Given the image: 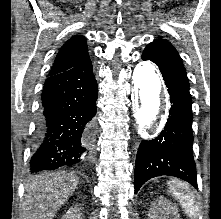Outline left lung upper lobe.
I'll use <instances>...</instances> for the list:
<instances>
[{
  "label": "left lung upper lobe",
  "instance_id": "1",
  "mask_svg": "<svg viewBox=\"0 0 221 219\" xmlns=\"http://www.w3.org/2000/svg\"><path fill=\"white\" fill-rule=\"evenodd\" d=\"M148 46H151L154 48L166 49V50H169L171 52L178 54L177 50L168 41L161 39V38L155 39Z\"/></svg>",
  "mask_w": 221,
  "mask_h": 219
}]
</instances>
